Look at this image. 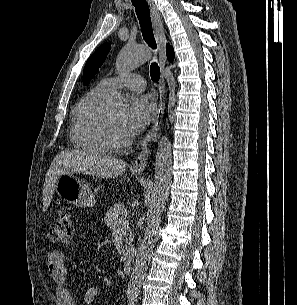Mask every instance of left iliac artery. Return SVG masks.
<instances>
[{
	"mask_svg": "<svg viewBox=\"0 0 297 305\" xmlns=\"http://www.w3.org/2000/svg\"><path fill=\"white\" fill-rule=\"evenodd\" d=\"M135 301H136V296L130 297L129 305H135Z\"/></svg>",
	"mask_w": 297,
	"mask_h": 305,
	"instance_id": "left-iliac-artery-1",
	"label": "left iliac artery"
}]
</instances>
